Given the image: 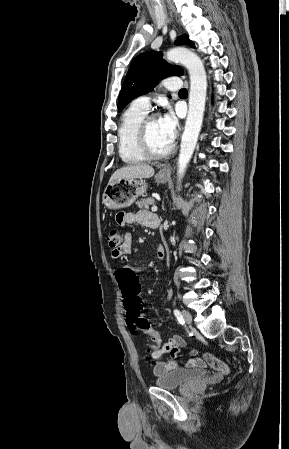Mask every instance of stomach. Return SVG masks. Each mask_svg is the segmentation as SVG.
<instances>
[{
	"instance_id": "stomach-1",
	"label": "stomach",
	"mask_w": 289,
	"mask_h": 449,
	"mask_svg": "<svg viewBox=\"0 0 289 449\" xmlns=\"http://www.w3.org/2000/svg\"><path fill=\"white\" fill-rule=\"evenodd\" d=\"M168 175L158 173L155 176L157 183H165ZM147 183L142 179H118L110 182L103 194V204L109 209H121L131 206L139 196L147 190Z\"/></svg>"
}]
</instances>
